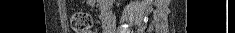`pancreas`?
<instances>
[{"label":"pancreas","instance_id":"pancreas-1","mask_svg":"<svg viewBox=\"0 0 235 33\" xmlns=\"http://www.w3.org/2000/svg\"><path fill=\"white\" fill-rule=\"evenodd\" d=\"M104 0H99L100 5L102 6Z\"/></svg>","mask_w":235,"mask_h":33}]
</instances>
